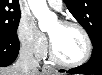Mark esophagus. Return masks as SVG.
I'll list each match as a JSON object with an SVG mask.
<instances>
[{
    "label": "esophagus",
    "instance_id": "1",
    "mask_svg": "<svg viewBox=\"0 0 102 75\" xmlns=\"http://www.w3.org/2000/svg\"><path fill=\"white\" fill-rule=\"evenodd\" d=\"M42 71H43L44 73H46V74H50V73L53 72V68L50 67V66L45 65V66H43Z\"/></svg>",
    "mask_w": 102,
    "mask_h": 75
}]
</instances>
